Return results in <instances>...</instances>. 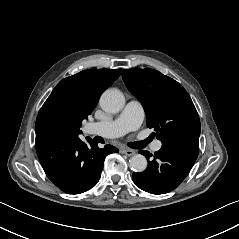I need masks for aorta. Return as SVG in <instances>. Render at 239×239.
<instances>
[{
    "mask_svg": "<svg viewBox=\"0 0 239 239\" xmlns=\"http://www.w3.org/2000/svg\"><path fill=\"white\" fill-rule=\"evenodd\" d=\"M99 104L105 112L118 113L125 105V97L119 90L108 89L100 97ZM129 165L134 172H143L147 168V160L137 154L130 158Z\"/></svg>",
    "mask_w": 239,
    "mask_h": 239,
    "instance_id": "762f6f07",
    "label": "aorta"
}]
</instances>
